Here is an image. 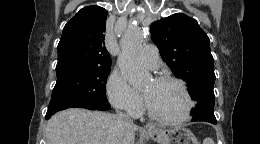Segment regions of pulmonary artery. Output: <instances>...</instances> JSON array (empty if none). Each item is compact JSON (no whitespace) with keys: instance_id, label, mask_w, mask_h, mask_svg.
Returning a JSON list of instances; mask_svg holds the SVG:
<instances>
[{"instance_id":"e3ab8cb5","label":"pulmonary artery","mask_w":260,"mask_h":144,"mask_svg":"<svg viewBox=\"0 0 260 144\" xmlns=\"http://www.w3.org/2000/svg\"><path fill=\"white\" fill-rule=\"evenodd\" d=\"M138 60L143 67L149 70H155L160 63L158 50L153 45H147L140 52Z\"/></svg>"}]
</instances>
